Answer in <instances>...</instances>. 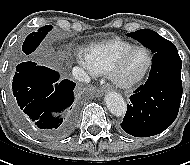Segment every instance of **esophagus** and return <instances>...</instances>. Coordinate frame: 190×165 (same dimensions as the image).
<instances>
[{"instance_id":"obj_1","label":"esophagus","mask_w":190,"mask_h":165,"mask_svg":"<svg viewBox=\"0 0 190 165\" xmlns=\"http://www.w3.org/2000/svg\"><path fill=\"white\" fill-rule=\"evenodd\" d=\"M110 89H111V86H110L109 84H105V85H103V86L100 88V91L104 93V92L110 91Z\"/></svg>"}]
</instances>
